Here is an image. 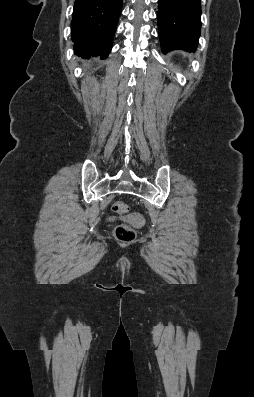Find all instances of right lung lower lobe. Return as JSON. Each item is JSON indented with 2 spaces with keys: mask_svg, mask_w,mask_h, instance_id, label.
<instances>
[{
  "mask_svg": "<svg viewBox=\"0 0 254 397\" xmlns=\"http://www.w3.org/2000/svg\"><path fill=\"white\" fill-rule=\"evenodd\" d=\"M123 0H75L71 22L75 54L106 58L112 48Z\"/></svg>",
  "mask_w": 254,
  "mask_h": 397,
  "instance_id": "98d812e1",
  "label": "right lung lower lobe"
}]
</instances>
